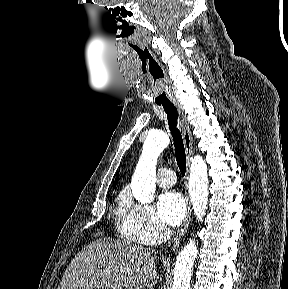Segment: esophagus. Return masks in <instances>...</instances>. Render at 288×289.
<instances>
[{"instance_id":"esophagus-1","label":"esophagus","mask_w":288,"mask_h":289,"mask_svg":"<svg viewBox=\"0 0 288 289\" xmlns=\"http://www.w3.org/2000/svg\"><path fill=\"white\" fill-rule=\"evenodd\" d=\"M173 104L177 108L178 113H179V117H180V126H181V130H182V134H183L185 151H186V155H187L186 180H188L190 162H191V158L193 156V138H192L191 130H190V127H189L188 122L186 120V116L184 114V110L182 108V105L176 101H174ZM191 212H192L191 205L189 202V198L187 196L186 218L182 224V227L178 230V232L176 233V235L173 238V241H172L173 242V247H172L173 250H175L176 247L179 245L180 241L182 240V238L184 237V235L188 229V226H189L190 221H191Z\"/></svg>"}]
</instances>
